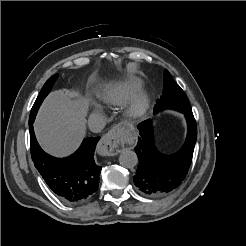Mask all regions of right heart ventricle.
Returning <instances> with one entry per match:
<instances>
[{"label":"right heart ventricle","mask_w":246,"mask_h":246,"mask_svg":"<svg viewBox=\"0 0 246 246\" xmlns=\"http://www.w3.org/2000/svg\"><path fill=\"white\" fill-rule=\"evenodd\" d=\"M143 88V82L138 78L105 85L99 92V100L108 106H120L129 101Z\"/></svg>","instance_id":"e07e8e85"}]
</instances>
